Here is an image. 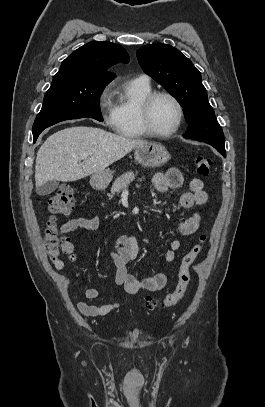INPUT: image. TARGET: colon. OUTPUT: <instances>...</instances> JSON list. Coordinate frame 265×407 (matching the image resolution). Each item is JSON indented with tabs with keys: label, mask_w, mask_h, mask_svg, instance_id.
Masks as SVG:
<instances>
[{
	"label": "colon",
	"mask_w": 265,
	"mask_h": 407,
	"mask_svg": "<svg viewBox=\"0 0 265 407\" xmlns=\"http://www.w3.org/2000/svg\"><path fill=\"white\" fill-rule=\"evenodd\" d=\"M194 163L200 175H208L212 167V159L208 156H196ZM76 203L73 188L69 186L60 187L50 198L48 208L52 214H68ZM45 241L50 259L53 263L61 260L63 256H71L72 245L68 239L63 237L57 228L56 219L52 217L47 225ZM206 236L201 235L197 244L184 255L178 269V280L175 289L169 293L163 301L159 302L146 297L143 306L148 310L157 308H172L182 301L191 283V267L203 250Z\"/></svg>",
	"instance_id": "obj_1"
}]
</instances>
